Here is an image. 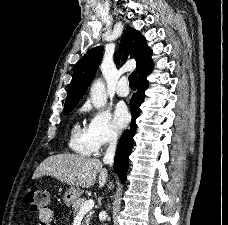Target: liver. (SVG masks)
Masks as SVG:
<instances>
[{
    "label": "liver",
    "instance_id": "liver-1",
    "mask_svg": "<svg viewBox=\"0 0 228 225\" xmlns=\"http://www.w3.org/2000/svg\"><path fill=\"white\" fill-rule=\"evenodd\" d=\"M99 175V185L103 187L106 183L107 171L99 159H87L81 155H52L37 167L33 179L39 177H54L61 183L71 187H93L96 177Z\"/></svg>",
    "mask_w": 228,
    "mask_h": 225
}]
</instances>
